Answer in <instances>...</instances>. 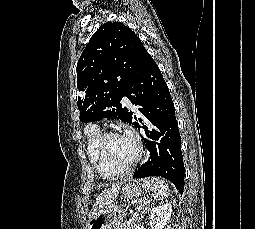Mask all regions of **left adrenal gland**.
<instances>
[{
  "label": "left adrenal gland",
  "instance_id": "obj_1",
  "mask_svg": "<svg viewBox=\"0 0 255 229\" xmlns=\"http://www.w3.org/2000/svg\"><path fill=\"white\" fill-rule=\"evenodd\" d=\"M149 202L150 201L147 200V198L140 200L138 210H141V213L145 212L148 209Z\"/></svg>",
  "mask_w": 255,
  "mask_h": 229
}]
</instances>
